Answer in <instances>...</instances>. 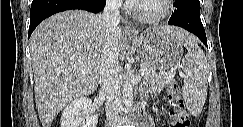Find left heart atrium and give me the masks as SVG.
I'll list each match as a JSON object with an SVG mask.
<instances>
[{
  "instance_id": "1",
  "label": "left heart atrium",
  "mask_w": 243,
  "mask_h": 127,
  "mask_svg": "<svg viewBox=\"0 0 243 127\" xmlns=\"http://www.w3.org/2000/svg\"><path fill=\"white\" fill-rule=\"evenodd\" d=\"M139 2H141V1H139V0H128L127 1V3L130 4V5H135V4L139 3Z\"/></svg>"
}]
</instances>
